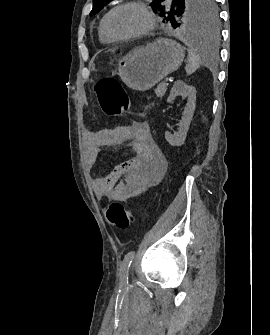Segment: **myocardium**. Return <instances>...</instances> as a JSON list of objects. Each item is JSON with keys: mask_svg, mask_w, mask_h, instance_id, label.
Wrapping results in <instances>:
<instances>
[{"mask_svg": "<svg viewBox=\"0 0 270 335\" xmlns=\"http://www.w3.org/2000/svg\"><path fill=\"white\" fill-rule=\"evenodd\" d=\"M125 5H132V6L138 7L143 12V14L146 16L147 26L142 31L120 36V35L114 34L109 29L108 21H109V18L111 16V14L115 10H117V9H119L122 6H125ZM155 23H156L155 17L153 15V13L148 9V7L144 3L139 2V1H135V0L123 1L119 4H117L116 6H114L112 9H110L107 12V14L104 16V18L102 20V26H103V29H104L105 33L107 34V36L110 37L113 40H122V41L138 39V38H141V37H144V36L148 35L149 33H151L153 31ZM140 51H141V49L138 48V49H135L131 52H140Z\"/></svg>", "mask_w": 270, "mask_h": 335, "instance_id": "obj_1", "label": "myocardium"}]
</instances>
